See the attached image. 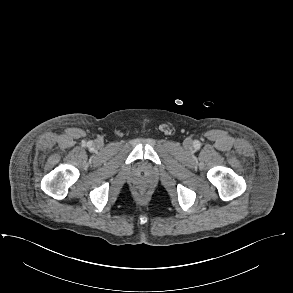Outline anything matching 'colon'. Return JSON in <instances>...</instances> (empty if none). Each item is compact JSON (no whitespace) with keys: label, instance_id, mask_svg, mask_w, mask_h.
Listing matches in <instances>:
<instances>
[{"label":"colon","instance_id":"colon-1","mask_svg":"<svg viewBox=\"0 0 293 293\" xmlns=\"http://www.w3.org/2000/svg\"><path fill=\"white\" fill-rule=\"evenodd\" d=\"M138 194H139L140 196H145V194H146V190L143 189V188H141V189H139Z\"/></svg>","mask_w":293,"mask_h":293}]
</instances>
